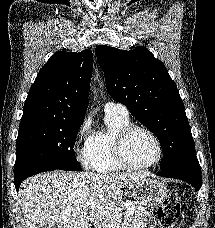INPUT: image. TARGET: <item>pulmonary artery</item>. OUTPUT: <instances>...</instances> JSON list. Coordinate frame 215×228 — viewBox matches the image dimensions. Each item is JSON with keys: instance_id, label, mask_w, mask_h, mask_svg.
I'll return each mask as SVG.
<instances>
[{"instance_id": "obj_1", "label": "pulmonary artery", "mask_w": 215, "mask_h": 228, "mask_svg": "<svg viewBox=\"0 0 215 228\" xmlns=\"http://www.w3.org/2000/svg\"><path fill=\"white\" fill-rule=\"evenodd\" d=\"M106 113L116 112L122 115H129L128 109L125 105L116 102H107L104 106Z\"/></svg>"}]
</instances>
